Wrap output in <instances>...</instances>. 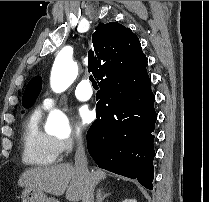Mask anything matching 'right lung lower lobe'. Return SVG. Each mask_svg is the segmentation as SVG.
<instances>
[{"mask_svg":"<svg viewBox=\"0 0 209 202\" xmlns=\"http://www.w3.org/2000/svg\"><path fill=\"white\" fill-rule=\"evenodd\" d=\"M96 99L97 119L87 132L89 154L100 168L136 178L152 190L157 114L147 71L126 87H100Z\"/></svg>","mask_w":209,"mask_h":202,"instance_id":"obj_1","label":"right lung lower lobe"}]
</instances>
